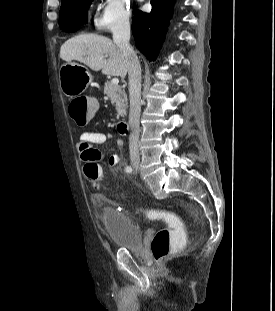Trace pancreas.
<instances>
[{"label":"pancreas","instance_id":"cf45deb5","mask_svg":"<svg viewBox=\"0 0 275 311\" xmlns=\"http://www.w3.org/2000/svg\"><path fill=\"white\" fill-rule=\"evenodd\" d=\"M104 94H106L110 98L111 103L115 105L117 117H124L128 107L125 91L120 86L107 81L104 86Z\"/></svg>","mask_w":275,"mask_h":311}]
</instances>
